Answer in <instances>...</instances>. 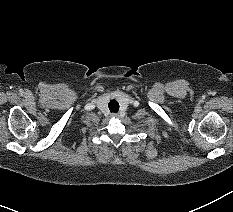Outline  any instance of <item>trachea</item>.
I'll return each mask as SVG.
<instances>
[{
    "label": "trachea",
    "mask_w": 233,
    "mask_h": 212,
    "mask_svg": "<svg viewBox=\"0 0 233 212\" xmlns=\"http://www.w3.org/2000/svg\"><path fill=\"white\" fill-rule=\"evenodd\" d=\"M108 107H109L110 112H118L119 111V103L115 99L110 100Z\"/></svg>",
    "instance_id": "trachea-1"
}]
</instances>
